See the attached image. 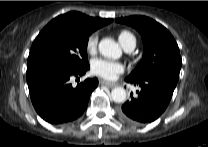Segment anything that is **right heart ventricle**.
<instances>
[{
    "mask_svg": "<svg viewBox=\"0 0 208 147\" xmlns=\"http://www.w3.org/2000/svg\"><path fill=\"white\" fill-rule=\"evenodd\" d=\"M133 39H135V37L129 31L123 30L118 33L119 43L122 45L124 49L129 45V43Z\"/></svg>",
    "mask_w": 208,
    "mask_h": 147,
    "instance_id": "obj_1",
    "label": "right heart ventricle"
}]
</instances>
